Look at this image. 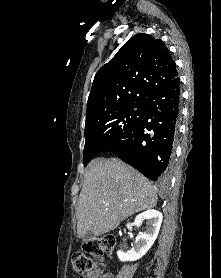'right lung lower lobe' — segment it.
<instances>
[{
  "label": "right lung lower lobe",
  "mask_w": 221,
  "mask_h": 278,
  "mask_svg": "<svg viewBox=\"0 0 221 278\" xmlns=\"http://www.w3.org/2000/svg\"><path fill=\"white\" fill-rule=\"evenodd\" d=\"M141 122L102 151L119 157L153 181L168 178L180 114V83L175 77L154 90L144 101Z\"/></svg>",
  "instance_id": "98d812e1"
}]
</instances>
